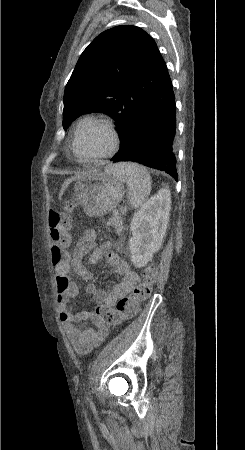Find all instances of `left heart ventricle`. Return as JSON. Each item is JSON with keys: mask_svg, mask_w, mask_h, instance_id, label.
<instances>
[{"mask_svg": "<svg viewBox=\"0 0 245 450\" xmlns=\"http://www.w3.org/2000/svg\"><path fill=\"white\" fill-rule=\"evenodd\" d=\"M111 145V136L103 127L88 128L83 131L77 142V151L84 156L105 153Z\"/></svg>", "mask_w": 245, "mask_h": 450, "instance_id": "b2bd125f", "label": "left heart ventricle"}]
</instances>
